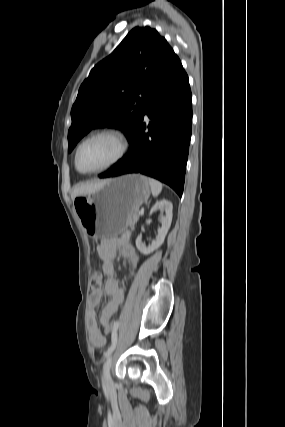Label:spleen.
Masks as SVG:
<instances>
[{"label":"spleen","mask_w":285,"mask_h":427,"mask_svg":"<svg viewBox=\"0 0 285 427\" xmlns=\"http://www.w3.org/2000/svg\"><path fill=\"white\" fill-rule=\"evenodd\" d=\"M148 180L151 186L152 195L157 197L162 191V184L153 178H149Z\"/></svg>","instance_id":"3e777b00"}]
</instances>
